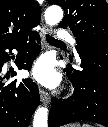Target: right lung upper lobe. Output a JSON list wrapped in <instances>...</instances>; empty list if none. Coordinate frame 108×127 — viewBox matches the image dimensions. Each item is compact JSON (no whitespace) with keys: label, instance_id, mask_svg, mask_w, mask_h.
<instances>
[{"label":"right lung upper lobe","instance_id":"obj_1","mask_svg":"<svg viewBox=\"0 0 108 127\" xmlns=\"http://www.w3.org/2000/svg\"><path fill=\"white\" fill-rule=\"evenodd\" d=\"M35 0H0V44L17 41L39 24Z\"/></svg>","mask_w":108,"mask_h":127}]
</instances>
